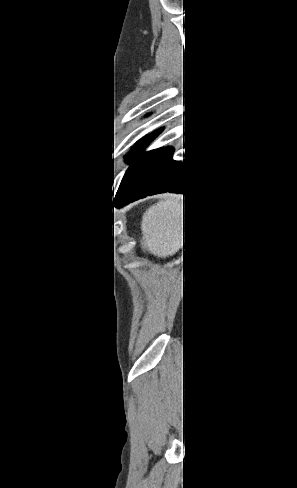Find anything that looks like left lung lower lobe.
<instances>
[{"instance_id":"0a47b994","label":"left lung lower lobe","mask_w":297,"mask_h":488,"mask_svg":"<svg viewBox=\"0 0 297 488\" xmlns=\"http://www.w3.org/2000/svg\"><path fill=\"white\" fill-rule=\"evenodd\" d=\"M174 149L172 147L162 150L147 164L130 187L116 197L115 206L127 204L147 195L176 192L186 193L190 180L184 164L172 159Z\"/></svg>"}]
</instances>
